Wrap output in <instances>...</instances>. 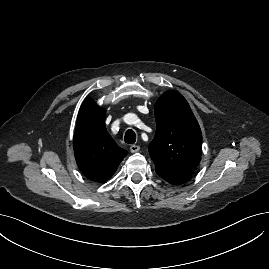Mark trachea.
Segmentation results:
<instances>
[{
  "instance_id": "trachea-1",
  "label": "trachea",
  "mask_w": 269,
  "mask_h": 269,
  "mask_svg": "<svg viewBox=\"0 0 269 269\" xmlns=\"http://www.w3.org/2000/svg\"><path fill=\"white\" fill-rule=\"evenodd\" d=\"M124 141L127 144H134L136 141V134L132 129L127 130L125 133Z\"/></svg>"
}]
</instances>
